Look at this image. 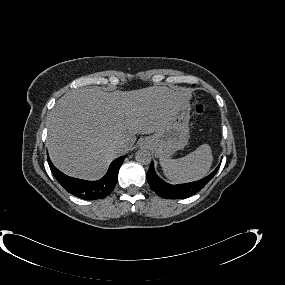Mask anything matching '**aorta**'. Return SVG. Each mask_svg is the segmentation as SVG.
I'll return each instance as SVG.
<instances>
[{
	"mask_svg": "<svg viewBox=\"0 0 285 285\" xmlns=\"http://www.w3.org/2000/svg\"><path fill=\"white\" fill-rule=\"evenodd\" d=\"M135 159L138 163L148 165L151 162V153L146 149L138 150L135 154Z\"/></svg>",
	"mask_w": 285,
	"mask_h": 285,
	"instance_id": "1",
	"label": "aorta"
}]
</instances>
